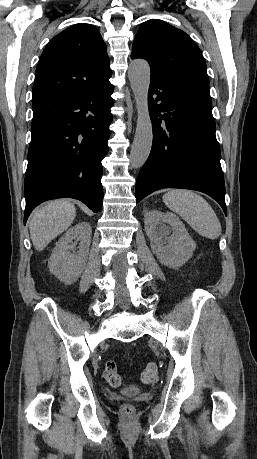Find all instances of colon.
I'll return each instance as SVG.
<instances>
[{
  "mask_svg": "<svg viewBox=\"0 0 257 459\" xmlns=\"http://www.w3.org/2000/svg\"><path fill=\"white\" fill-rule=\"evenodd\" d=\"M103 375L107 382L112 387H120L123 385L122 377L117 372V364L114 360H108L103 369ZM158 376V367L155 363H149L143 369L141 373V380L144 383H151L156 380ZM121 411L126 416H132L134 408L130 404H124L121 407Z\"/></svg>",
  "mask_w": 257,
  "mask_h": 459,
  "instance_id": "obj_1",
  "label": "colon"
}]
</instances>
